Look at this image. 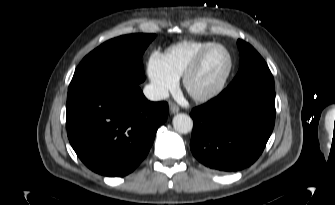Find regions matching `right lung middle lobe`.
<instances>
[{"label": "right lung middle lobe", "instance_id": "right-lung-middle-lobe-1", "mask_svg": "<svg viewBox=\"0 0 335 205\" xmlns=\"http://www.w3.org/2000/svg\"><path fill=\"white\" fill-rule=\"evenodd\" d=\"M155 34L123 35L90 52L76 68L68 93L94 84L135 86L145 80L142 55Z\"/></svg>", "mask_w": 335, "mask_h": 205}]
</instances>
